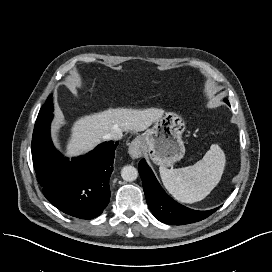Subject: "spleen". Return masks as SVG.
Instances as JSON below:
<instances>
[{
  "label": "spleen",
  "mask_w": 272,
  "mask_h": 272,
  "mask_svg": "<svg viewBox=\"0 0 272 272\" xmlns=\"http://www.w3.org/2000/svg\"><path fill=\"white\" fill-rule=\"evenodd\" d=\"M226 164L223 150L213 144L204 157L192 166L167 169L160 166L165 188L182 203L203 200L218 185Z\"/></svg>",
  "instance_id": "1"
}]
</instances>
